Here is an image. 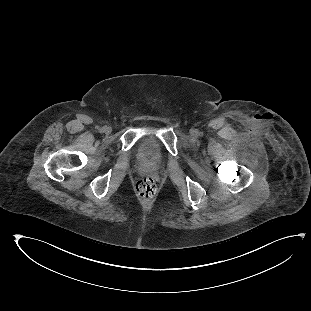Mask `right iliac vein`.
<instances>
[{
    "instance_id": "63e3f726",
    "label": "right iliac vein",
    "mask_w": 311,
    "mask_h": 311,
    "mask_svg": "<svg viewBox=\"0 0 311 311\" xmlns=\"http://www.w3.org/2000/svg\"><path fill=\"white\" fill-rule=\"evenodd\" d=\"M105 132H106L107 134H109V133L111 132V129H110V128H106Z\"/></svg>"
}]
</instances>
